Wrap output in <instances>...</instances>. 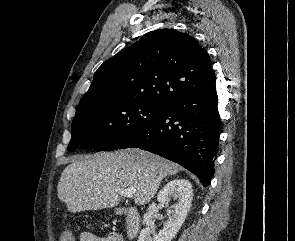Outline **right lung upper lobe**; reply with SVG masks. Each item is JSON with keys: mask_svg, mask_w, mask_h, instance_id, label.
Masks as SVG:
<instances>
[{"mask_svg": "<svg viewBox=\"0 0 295 241\" xmlns=\"http://www.w3.org/2000/svg\"><path fill=\"white\" fill-rule=\"evenodd\" d=\"M215 80L209 55L194 37L159 29L105 61L83 98L113 92L164 106L175 97L208 88Z\"/></svg>", "mask_w": 295, "mask_h": 241, "instance_id": "cb5924a9", "label": "right lung upper lobe"}]
</instances>
